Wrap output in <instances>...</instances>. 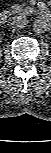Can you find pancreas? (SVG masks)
<instances>
[{
  "instance_id": "pancreas-1",
  "label": "pancreas",
  "mask_w": 51,
  "mask_h": 153,
  "mask_svg": "<svg viewBox=\"0 0 51 153\" xmlns=\"http://www.w3.org/2000/svg\"><path fill=\"white\" fill-rule=\"evenodd\" d=\"M12 12L14 14H29L30 12H32V8L26 5H12L11 6Z\"/></svg>"
}]
</instances>
